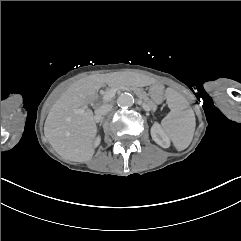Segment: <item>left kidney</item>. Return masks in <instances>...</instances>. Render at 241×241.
Wrapping results in <instances>:
<instances>
[{
    "label": "left kidney",
    "mask_w": 241,
    "mask_h": 241,
    "mask_svg": "<svg viewBox=\"0 0 241 241\" xmlns=\"http://www.w3.org/2000/svg\"><path fill=\"white\" fill-rule=\"evenodd\" d=\"M151 136L153 140L163 148L169 147V139L167 135L163 132V130L157 124L153 126L151 130Z\"/></svg>",
    "instance_id": "obj_1"
}]
</instances>
